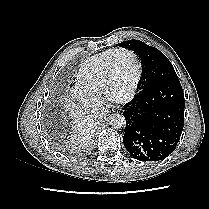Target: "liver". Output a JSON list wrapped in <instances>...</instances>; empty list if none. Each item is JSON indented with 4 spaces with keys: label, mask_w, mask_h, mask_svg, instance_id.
Here are the masks:
<instances>
[{
    "label": "liver",
    "mask_w": 209,
    "mask_h": 209,
    "mask_svg": "<svg viewBox=\"0 0 209 209\" xmlns=\"http://www.w3.org/2000/svg\"><path fill=\"white\" fill-rule=\"evenodd\" d=\"M67 108L70 109L69 113L73 117L75 140H77V142L84 141L93 129V123L89 120L87 115L82 113L76 104L68 105Z\"/></svg>",
    "instance_id": "obj_1"
}]
</instances>
